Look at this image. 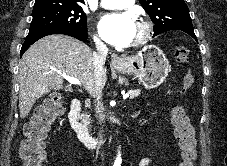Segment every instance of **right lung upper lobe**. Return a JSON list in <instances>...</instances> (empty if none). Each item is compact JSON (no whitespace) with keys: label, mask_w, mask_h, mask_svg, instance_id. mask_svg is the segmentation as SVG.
<instances>
[{"label":"right lung upper lobe","mask_w":227,"mask_h":166,"mask_svg":"<svg viewBox=\"0 0 227 166\" xmlns=\"http://www.w3.org/2000/svg\"><path fill=\"white\" fill-rule=\"evenodd\" d=\"M44 3H59V4H85L84 0H35L34 5Z\"/></svg>","instance_id":"cb5924a9"}]
</instances>
